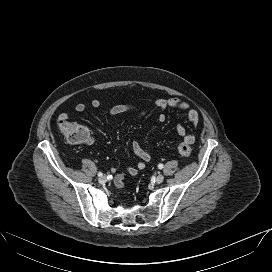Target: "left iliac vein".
I'll return each instance as SVG.
<instances>
[{
	"instance_id": "left-iliac-vein-1",
	"label": "left iliac vein",
	"mask_w": 272,
	"mask_h": 272,
	"mask_svg": "<svg viewBox=\"0 0 272 272\" xmlns=\"http://www.w3.org/2000/svg\"><path fill=\"white\" fill-rule=\"evenodd\" d=\"M163 180H164V176L162 174L157 175V177H156V182L157 183H162Z\"/></svg>"
}]
</instances>
